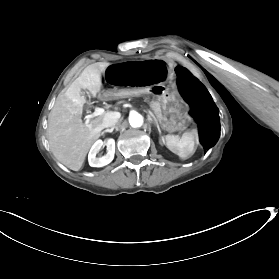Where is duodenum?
Masks as SVG:
<instances>
[{
  "label": "duodenum",
  "mask_w": 279,
  "mask_h": 279,
  "mask_svg": "<svg viewBox=\"0 0 279 279\" xmlns=\"http://www.w3.org/2000/svg\"><path fill=\"white\" fill-rule=\"evenodd\" d=\"M148 91H142L140 92V97H144V95H147ZM122 97V94H107L104 93L100 96V99H103L104 97ZM124 96H127V93H124ZM128 96H131V93H128ZM134 97H137V94H134ZM95 102H98V99H95Z\"/></svg>",
  "instance_id": "obj_1"
}]
</instances>
